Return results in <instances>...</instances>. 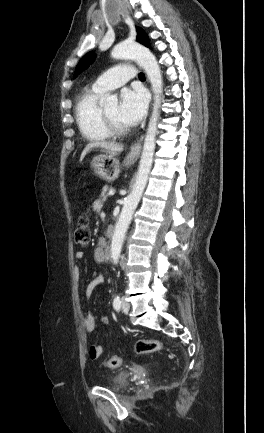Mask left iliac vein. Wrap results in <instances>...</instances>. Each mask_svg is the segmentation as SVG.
I'll use <instances>...</instances> for the list:
<instances>
[{"mask_svg": "<svg viewBox=\"0 0 264 433\" xmlns=\"http://www.w3.org/2000/svg\"><path fill=\"white\" fill-rule=\"evenodd\" d=\"M121 308L123 310V312L128 313L129 309H130V304L128 303V301L125 299V297H122V304H121Z\"/></svg>", "mask_w": 264, "mask_h": 433, "instance_id": "1", "label": "left iliac vein"}]
</instances>
